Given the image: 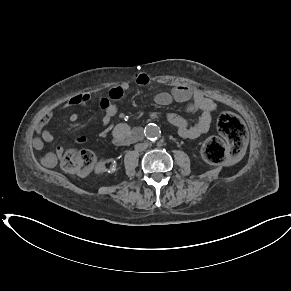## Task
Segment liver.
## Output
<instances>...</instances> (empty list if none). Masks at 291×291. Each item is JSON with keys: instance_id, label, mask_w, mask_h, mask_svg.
<instances>
[{"instance_id": "liver-1", "label": "liver", "mask_w": 291, "mask_h": 291, "mask_svg": "<svg viewBox=\"0 0 291 291\" xmlns=\"http://www.w3.org/2000/svg\"><path fill=\"white\" fill-rule=\"evenodd\" d=\"M48 157H54V154L49 153V154H48Z\"/></svg>"}]
</instances>
